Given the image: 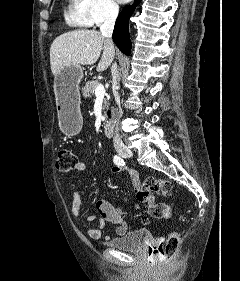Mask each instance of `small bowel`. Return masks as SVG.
<instances>
[{
  "instance_id": "c3829d8e",
  "label": "small bowel",
  "mask_w": 240,
  "mask_h": 281,
  "mask_svg": "<svg viewBox=\"0 0 240 281\" xmlns=\"http://www.w3.org/2000/svg\"><path fill=\"white\" fill-rule=\"evenodd\" d=\"M75 170L78 173H83L86 170V164L83 161L78 162ZM120 170H125L128 172L132 181V185L134 189L137 190L141 184L137 171L129 168H120L117 166L112 168L113 173H117ZM96 209L97 215L88 216L86 218V223L84 224V231L90 238L101 239L105 237L102 229L107 222L116 226L115 232L119 236H123L128 232L129 227L127 223L119 216L115 207L104 197H101L96 201ZM71 214L75 218H80L82 216V201L77 190L73 191ZM93 220H97V224L94 226L89 224V222Z\"/></svg>"
}]
</instances>
